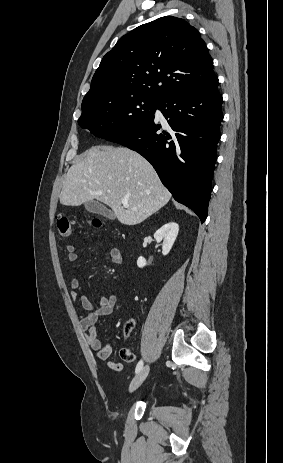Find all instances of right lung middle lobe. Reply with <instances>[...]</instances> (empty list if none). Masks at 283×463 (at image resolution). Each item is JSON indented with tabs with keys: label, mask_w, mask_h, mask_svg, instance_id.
<instances>
[{
	"label": "right lung middle lobe",
	"mask_w": 283,
	"mask_h": 463,
	"mask_svg": "<svg viewBox=\"0 0 283 463\" xmlns=\"http://www.w3.org/2000/svg\"><path fill=\"white\" fill-rule=\"evenodd\" d=\"M158 101L140 95H110L82 105L79 125L97 137L127 132L153 116Z\"/></svg>",
	"instance_id": "dd1d6c3e"
}]
</instances>
